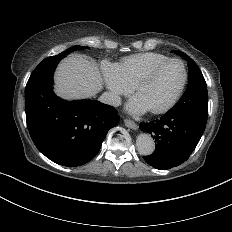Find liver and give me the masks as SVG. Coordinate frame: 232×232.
I'll list each match as a JSON object with an SVG mask.
<instances>
[{"mask_svg":"<svg viewBox=\"0 0 232 232\" xmlns=\"http://www.w3.org/2000/svg\"><path fill=\"white\" fill-rule=\"evenodd\" d=\"M56 81L61 94L92 96L100 89L102 78L97 64L82 55H72L57 72Z\"/></svg>","mask_w":232,"mask_h":232,"instance_id":"6515ba94","label":"liver"}]
</instances>
